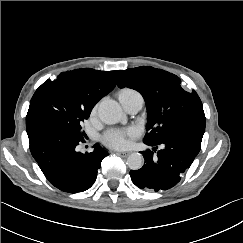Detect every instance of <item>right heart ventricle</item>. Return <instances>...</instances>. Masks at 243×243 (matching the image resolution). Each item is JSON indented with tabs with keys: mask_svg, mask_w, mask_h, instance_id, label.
I'll use <instances>...</instances> for the list:
<instances>
[{
	"mask_svg": "<svg viewBox=\"0 0 243 243\" xmlns=\"http://www.w3.org/2000/svg\"><path fill=\"white\" fill-rule=\"evenodd\" d=\"M118 99L123 106L127 102L134 100V99H141L143 101L141 94L138 91L131 89V88H123V89L119 90Z\"/></svg>",
	"mask_w": 243,
	"mask_h": 243,
	"instance_id": "1",
	"label": "right heart ventricle"
}]
</instances>
